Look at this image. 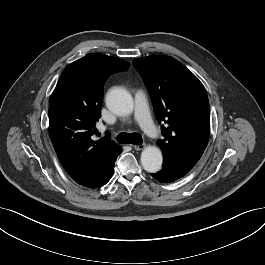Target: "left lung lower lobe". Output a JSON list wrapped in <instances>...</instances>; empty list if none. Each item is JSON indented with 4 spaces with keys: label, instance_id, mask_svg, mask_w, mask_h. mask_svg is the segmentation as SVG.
I'll return each instance as SVG.
<instances>
[{
    "label": "left lung lower lobe",
    "instance_id": "left-lung-lower-lobe-1",
    "mask_svg": "<svg viewBox=\"0 0 265 265\" xmlns=\"http://www.w3.org/2000/svg\"><path fill=\"white\" fill-rule=\"evenodd\" d=\"M156 180L163 182V183H170V182H174L177 179L171 177L169 174H167L166 172L160 170L157 173H153L151 174Z\"/></svg>",
    "mask_w": 265,
    "mask_h": 265
}]
</instances>
